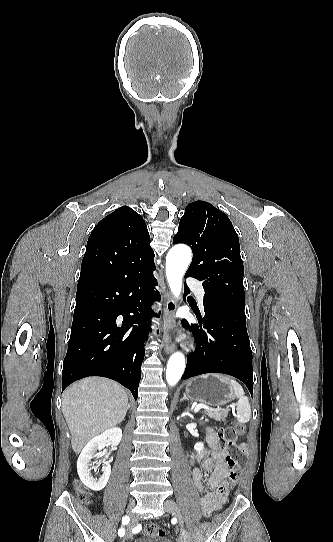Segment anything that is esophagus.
I'll list each match as a JSON object with an SVG mask.
<instances>
[{
  "label": "esophagus",
  "mask_w": 333,
  "mask_h": 542,
  "mask_svg": "<svg viewBox=\"0 0 333 542\" xmlns=\"http://www.w3.org/2000/svg\"><path fill=\"white\" fill-rule=\"evenodd\" d=\"M177 308V303L175 299L170 295L169 292L166 294V301H165V308H164V316L166 318H169L172 314L175 313ZM163 342H164V351L166 354H169L173 352L175 348V344L172 341V338L169 334V329H166L163 334Z\"/></svg>",
  "instance_id": "obj_1"
}]
</instances>
